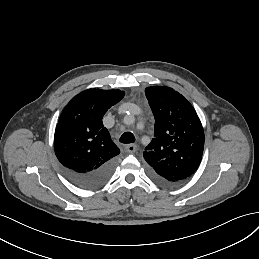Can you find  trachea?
I'll return each instance as SVG.
<instances>
[{"instance_id":"trachea-1","label":"trachea","mask_w":259,"mask_h":259,"mask_svg":"<svg viewBox=\"0 0 259 259\" xmlns=\"http://www.w3.org/2000/svg\"><path fill=\"white\" fill-rule=\"evenodd\" d=\"M119 141L124 144L135 142V137L131 132H125L121 135Z\"/></svg>"}]
</instances>
